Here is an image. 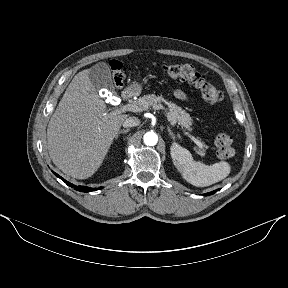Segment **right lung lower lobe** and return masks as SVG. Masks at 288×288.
Returning a JSON list of instances; mask_svg holds the SVG:
<instances>
[{"label": "right lung lower lobe", "mask_w": 288, "mask_h": 288, "mask_svg": "<svg viewBox=\"0 0 288 288\" xmlns=\"http://www.w3.org/2000/svg\"><path fill=\"white\" fill-rule=\"evenodd\" d=\"M57 177H59L60 179H62L68 186L74 188L77 191L80 192H91L94 190H98V189H94V188H90V187H85V186H76L74 184H71L70 182H67L65 179H63L62 177H60L58 174L54 173Z\"/></svg>", "instance_id": "obj_1"}]
</instances>
